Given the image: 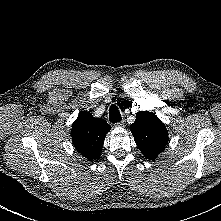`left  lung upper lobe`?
<instances>
[{"instance_id":"1","label":"left lung upper lobe","mask_w":221,"mask_h":221,"mask_svg":"<svg viewBox=\"0 0 221 221\" xmlns=\"http://www.w3.org/2000/svg\"><path fill=\"white\" fill-rule=\"evenodd\" d=\"M130 130L136 145L147 159L154 160L168 144V131L154 113L139 111Z\"/></svg>"}]
</instances>
